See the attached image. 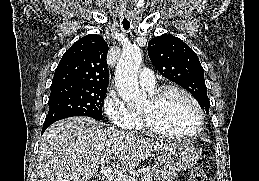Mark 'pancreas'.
Segmentation results:
<instances>
[{
	"label": "pancreas",
	"instance_id": "1",
	"mask_svg": "<svg viewBox=\"0 0 259 181\" xmlns=\"http://www.w3.org/2000/svg\"><path fill=\"white\" fill-rule=\"evenodd\" d=\"M136 173L140 174L144 178L150 177L151 179L153 178L156 181H173V179L176 177L175 172H169L165 169L160 170L158 168L150 166H143L141 169H138Z\"/></svg>",
	"mask_w": 259,
	"mask_h": 181
}]
</instances>
